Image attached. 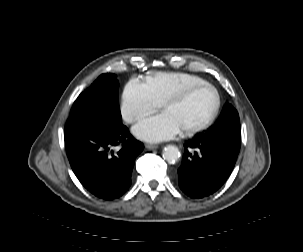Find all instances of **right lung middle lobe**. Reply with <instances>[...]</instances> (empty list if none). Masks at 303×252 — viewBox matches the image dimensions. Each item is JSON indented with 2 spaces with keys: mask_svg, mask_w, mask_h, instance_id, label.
<instances>
[{
  "mask_svg": "<svg viewBox=\"0 0 303 252\" xmlns=\"http://www.w3.org/2000/svg\"><path fill=\"white\" fill-rule=\"evenodd\" d=\"M118 81L114 74H102L73 104L69 120L94 117L122 123L118 100Z\"/></svg>",
  "mask_w": 303,
  "mask_h": 252,
  "instance_id": "obj_1",
  "label": "right lung middle lobe"
}]
</instances>
